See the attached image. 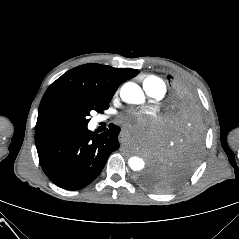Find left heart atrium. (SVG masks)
<instances>
[{
    "mask_svg": "<svg viewBox=\"0 0 239 239\" xmlns=\"http://www.w3.org/2000/svg\"><path fill=\"white\" fill-rule=\"evenodd\" d=\"M135 123L129 121L125 122V128L128 130H139L145 133H150L153 129V125L145 118L142 113H135Z\"/></svg>",
    "mask_w": 239,
    "mask_h": 239,
    "instance_id": "1",
    "label": "left heart atrium"
}]
</instances>
